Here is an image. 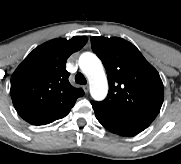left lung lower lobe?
I'll return each mask as SVG.
<instances>
[{
	"instance_id": "obj_1",
	"label": "left lung lower lobe",
	"mask_w": 181,
	"mask_h": 164,
	"mask_svg": "<svg viewBox=\"0 0 181 164\" xmlns=\"http://www.w3.org/2000/svg\"><path fill=\"white\" fill-rule=\"evenodd\" d=\"M97 120L109 131L121 136H134L150 124L113 108L91 103Z\"/></svg>"
}]
</instances>
